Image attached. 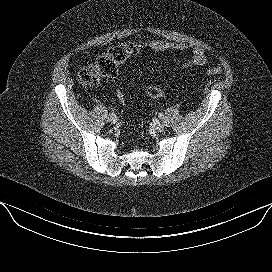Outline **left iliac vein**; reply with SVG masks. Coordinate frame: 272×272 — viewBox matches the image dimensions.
Instances as JSON below:
<instances>
[{"mask_svg": "<svg viewBox=\"0 0 272 272\" xmlns=\"http://www.w3.org/2000/svg\"><path fill=\"white\" fill-rule=\"evenodd\" d=\"M152 128L156 131H163L164 130V124L159 121H154L152 124Z\"/></svg>", "mask_w": 272, "mask_h": 272, "instance_id": "4c4485c4", "label": "left iliac vein"}]
</instances>
